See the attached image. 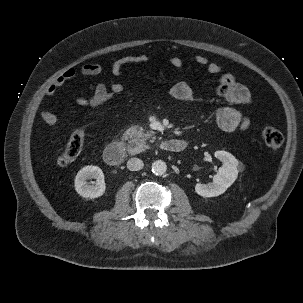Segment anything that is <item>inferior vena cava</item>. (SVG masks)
<instances>
[{
    "mask_svg": "<svg viewBox=\"0 0 303 303\" xmlns=\"http://www.w3.org/2000/svg\"><path fill=\"white\" fill-rule=\"evenodd\" d=\"M143 166H144V163L139 158H131L127 162V168L130 171H138V170L142 169Z\"/></svg>",
    "mask_w": 303,
    "mask_h": 303,
    "instance_id": "inferior-vena-cava-1",
    "label": "inferior vena cava"
}]
</instances>
